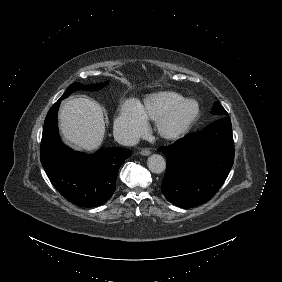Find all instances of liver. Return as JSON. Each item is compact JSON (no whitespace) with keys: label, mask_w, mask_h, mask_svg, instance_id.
Instances as JSON below:
<instances>
[{"label":"liver","mask_w":282,"mask_h":282,"mask_svg":"<svg viewBox=\"0 0 282 282\" xmlns=\"http://www.w3.org/2000/svg\"><path fill=\"white\" fill-rule=\"evenodd\" d=\"M59 127L63 137L85 150L98 148L105 133L101 107L87 98H75L61 108Z\"/></svg>","instance_id":"liver-1"}]
</instances>
